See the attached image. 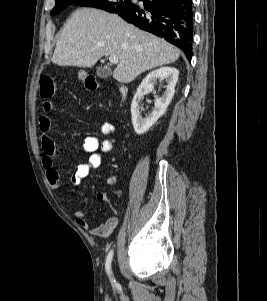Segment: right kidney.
<instances>
[{"label": "right kidney", "instance_id": "ca27d5eb", "mask_svg": "<svg viewBox=\"0 0 267 301\" xmlns=\"http://www.w3.org/2000/svg\"><path fill=\"white\" fill-rule=\"evenodd\" d=\"M178 76L179 71L176 68L161 67L149 73L141 82L131 103L132 123L137 134L146 133L165 113L174 96ZM158 79H165L167 83L166 90L161 97L156 98L153 111L146 118H143L141 116V100L145 94L154 90V83Z\"/></svg>", "mask_w": 267, "mask_h": 301}]
</instances>
